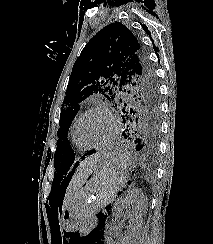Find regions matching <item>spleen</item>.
<instances>
[{
  "instance_id": "obj_1",
  "label": "spleen",
  "mask_w": 213,
  "mask_h": 244,
  "mask_svg": "<svg viewBox=\"0 0 213 244\" xmlns=\"http://www.w3.org/2000/svg\"><path fill=\"white\" fill-rule=\"evenodd\" d=\"M123 159H124L125 164H126L127 167L131 166V161H130V159L127 156L124 155Z\"/></svg>"
}]
</instances>
